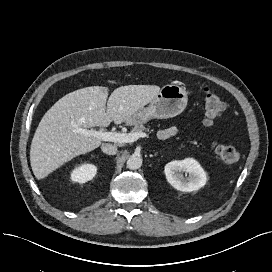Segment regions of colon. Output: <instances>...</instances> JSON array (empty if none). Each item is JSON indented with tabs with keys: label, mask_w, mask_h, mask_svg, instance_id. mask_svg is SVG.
Segmentation results:
<instances>
[{
	"label": "colon",
	"mask_w": 272,
	"mask_h": 272,
	"mask_svg": "<svg viewBox=\"0 0 272 272\" xmlns=\"http://www.w3.org/2000/svg\"><path fill=\"white\" fill-rule=\"evenodd\" d=\"M225 110V103L222 99L212 90L206 88L204 90V123L211 126L221 116ZM212 147L216 154L226 163H235L240 160L241 154L233 146L213 142Z\"/></svg>",
	"instance_id": "colon-1"
}]
</instances>
